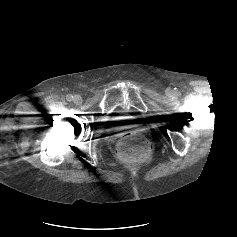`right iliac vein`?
<instances>
[{"mask_svg": "<svg viewBox=\"0 0 237 237\" xmlns=\"http://www.w3.org/2000/svg\"><path fill=\"white\" fill-rule=\"evenodd\" d=\"M73 101L75 104L80 105L82 103V98L79 95H75Z\"/></svg>", "mask_w": 237, "mask_h": 237, "instance_id": "right-iliac-vein-1", "label": "right iliac vein"}]
</instances>
